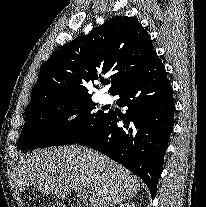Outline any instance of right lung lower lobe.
I'll list each match as a JSON object with an SVG mask.
<instances>
[{
	"mask_svg": "<svg viewBox=\"0 0 206 207\" xmlns=\"http://www.w3.org/2000/svg\"><path fill=\"white\" fill-rule=\"evenodd\" d=\"M118 105L125 115L109 110L108 116L77 143L86 144L122 164L148 186L152 199L163 168V158L174 123L171 83L160 58L120 86ZM122 120L123 127L117 122Z\"/></svg>",
	"mask_w": 206,
	"mask_h": 207,
	"instance_id": "right-lung-lower-lobe-1",
	"label": "right lung lower lobe"
}]
</instances>
